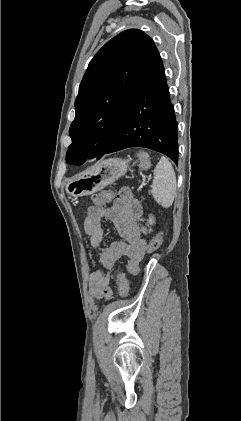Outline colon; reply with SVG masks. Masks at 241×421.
<instances>
[{
  "label": "colon",
  "mask_w": 241,
  "mask_h": 421,
  "mask_svg": "<svg viewBox=\"0 0 241 421\" xmlns=\"http://www.w3.org/2000/svg\"><path fill=\"white\" fill-rule=\"evenodd\" d=\"M140 165L145 168L148 166L147 156L141 154L139 156ZM115 197V192L112 190H104L93 197V202L96 205L103 206L110 203ZM163 241L161 233H157L147 245V253H152L159 249ZM127 272L130 275H136L139 272V261L134 259H129L127 264ZM116 284L119 290V293L122 296H127L129 293V281L125 273L119 272L116 276Z\"/></svg>",
  "instance_id": "1"
}]
</instances>
